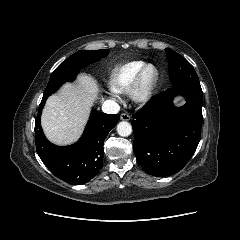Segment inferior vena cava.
<instances>
[{
	"label": "inferior vena cava",
	"mask_w": 240,
	"mask_h": 240,
	"mask_svg": "<svg viewBox=\"0 0 240 240\" xmlns=\"http://www.w3.org/2000/svg\"><path fill=\"white\" fill-rule=\"evenodd\" d=\"M102 111L107 114H116L120 111V106L112 100H106L102 104Z\"/></svg>",
	"instance_id": "inferior-vena-cava-1"
}]
</instances>
